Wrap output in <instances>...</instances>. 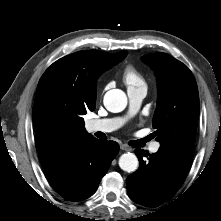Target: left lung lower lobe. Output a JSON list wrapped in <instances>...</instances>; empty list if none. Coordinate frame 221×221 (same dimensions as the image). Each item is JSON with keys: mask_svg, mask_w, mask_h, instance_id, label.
I'll list each match as a JSON object with an SVG mask.
<instances>
[{"mask_svg": "<svg viewBox=\"0 0 221 221\" xmlns=\"http://www.w3.org/2000/svg\"><path fill=\"white\" fill-rule=\"evenodd\" d=\"M140 166L127 178L129 197L136 203L156 207L174 196L184 182L192 163V156L160 147L149 155L136 149ZM149 155L148 161L143 158Z\"/></svg>", "mask_w": 221, "mask_h": 221, "instance_id": "1", "label": "left lung lower lobe"}]
</instances>
